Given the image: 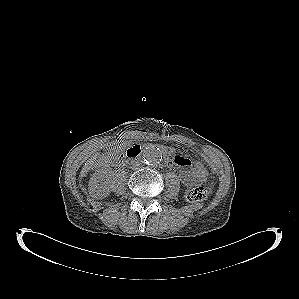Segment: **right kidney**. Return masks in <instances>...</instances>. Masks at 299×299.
Wrapping results in <instances>:
<instances>
[{
  "instance_id": "ca27d5eb",
  "label": "right kidney",
  "mask_w": 299,
  "mask_h": 299,
  "mask_svg": "<svg viewBox=\"0 0 299 299\" xmlns=\"http://www.w3.org/2000/svg\"><path fill=\"white\" fill-rule=\"evenodd\" d=\"M108 171L99 169L89 182L90 195L97 199L105 198L110 193V184L107 179Z\"/></svg>"
}]
</instances>
